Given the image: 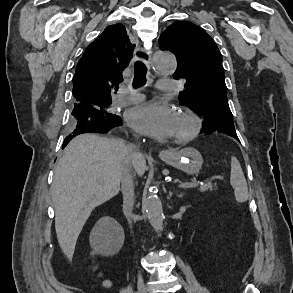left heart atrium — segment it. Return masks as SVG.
Here are the masks:
<instances>
[{"instance_id": "left-heart-atrium-1", "label": "left heart atrium", "mask_w": 293, "mask_h": 293, "mask_svg": "<svg viewBox=\"0 0 293 293\" xmlns=\"http://www.w3.org/2000/svg\"><path fill=\"white\" fill-rule=\"evenodd\" d=\"M126 120L133 129L144 135L164 138L173 135L176 115L166 104L149 102L129 109Z\"/></svg>"}]
</instances>
